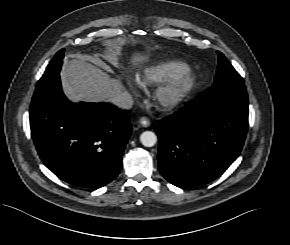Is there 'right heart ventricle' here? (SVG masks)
<instances>
[{"instance_id":"right-heart-ventricle-1","label":"right heart ventricle","mask_w":290,"mask_h":245,"mask_svg":"<svg viewBox=\"0 0 290 245\" xmlns=\"http://www.w3.org/2000/svg\"><path fill=\"white\" fill-rule=\"evenodd\" d=\"M188 69V64L182 61H160L136 72L134 80L139 87L147 88L158 84L169 76L179 74Z\"/></svg>"}]
</instances>
